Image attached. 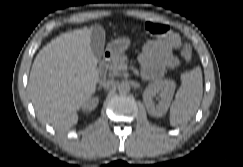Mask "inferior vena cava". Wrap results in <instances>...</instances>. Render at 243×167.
<instances>
[{"label":"inferior vena cava","instance_id":"obj_1","mask_svg":"<svg viewBox=\"0 0 243 167\" xmlns=\"http://www.w3.org/2000/svg\"><path fill=\"white\" fill-rule=\"evenodd\" d=\"M114 83L113 80H106L102 82V86L103 87H109L110 85H112Z\"/></svg>","mask_w":243,"mask_h":167}]
</instances>
